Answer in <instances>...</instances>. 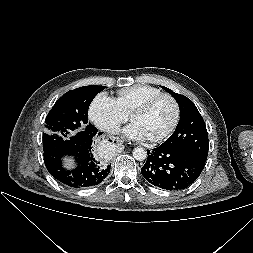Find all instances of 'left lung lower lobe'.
Instances as JSON below:
<instances>
[{"instance_id": "obj_1", "label": "left lung lower lobe", "mask_w": 253, "mask_h": 253, "mask_svg": "<svg viewBox=\"0 0 253 253\" xmlns=\"http://www.w3.org/2000/svg\"><path fill=\"white\" fill-rule=\"evenodd\" d=\"M147 152L141 174L152 185L166 190L189 187L199 177L206 162L191 152L162 144Z\"/></svg>"}]
</instances>
